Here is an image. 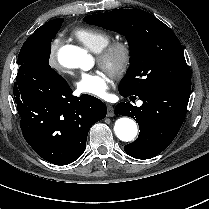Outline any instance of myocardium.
Wrapping results in <instances>:
<instances>
[{
	"mask_svg": "<svg viewBox=\"0 0 209 209\" xmlns=\"http://www.w3.org/2000/svg\"><path fill=\"white\" fill-rule=\"evenodd\" d=\"M132 59L131 45L125 40H113L97 54L99 64L106 72L119 77L126 72Z\"/></svg>",
	"mask_w": 209,
	"mask_h": 209,
	"instance_id": "f54148a6",
	"label": "myocardium"
}]
</instances>
